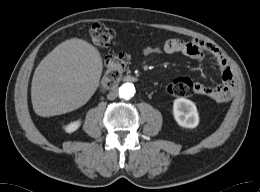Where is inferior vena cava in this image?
<instances>
[{
    "mask_svg": "<svg viewBox=\"0 0 260 192\" xmlns=\"http://www.w3.org/2000/svg\"><path fill=\"white\" fill-rule=\"evenodd\" d=\"M118 96V92L116 90H112L108 95H107V98L109 100H114L116 99Z\"/></svg>",
    "mask_w": 260,
    "mask_h": 192,
    "instance_id": "obj_1",
    "label": "inferior vena cava"
}]
</instances>
